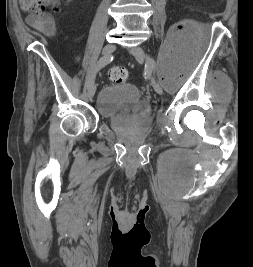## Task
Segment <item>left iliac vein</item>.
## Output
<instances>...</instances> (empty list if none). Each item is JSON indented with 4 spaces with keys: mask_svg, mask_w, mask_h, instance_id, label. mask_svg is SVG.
Here are the masks:
<instances>
[{
    "mask_svg": "<svg viewBox=\"0 0 253 267\" xmlns=\"http://www.w3.org/2000/svg\"><path fill=\"white\" fill-rule=\"evenodd\" d=\"M130 50V53L135 57V59L139 62V63H143L146 62V64L148 63V58L149 56L144 52V50L139 47H133ZM152 67L149 66V77H151V72H152ZM154 83V90L156 91V93H158L159 95H161L163 93V89L161 88V86L156 83L155 80H153Z\"/></svg>",
    "mask_w": 253,
    "mask_h": 267,
    "instance_id": "1",
    "label": "left iliac vein"
}]
</instances>
